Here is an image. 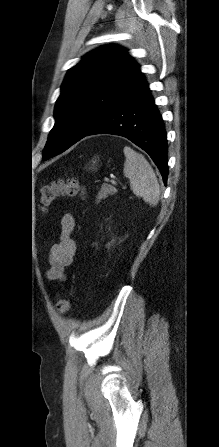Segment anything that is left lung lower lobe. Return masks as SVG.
Instances as JSON below:
<instances>
[{
  "label": "left lung lower lobe",
  "instance_id": "left-lung-lower-lobe-1",
  "mask_svg": "<svg viewBox=\"0 0 219 447\" xmlns=\"http://www.w3.org/2000/svg\"><path fill=\"white\" fill-rule=\"evenodd\" d=\"M95 134L119 135L132 141L149 154L166 184L168 175L166 131L142 73L86 136Z\"/></svg>",
  "mask_w": 219,
  "mask_h": 447
}]
</instances>
